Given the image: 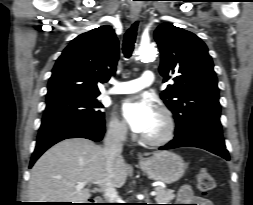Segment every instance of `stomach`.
Returning <instances> with one entry per match:
<instances>
[{
    "instance_id": "obj_1",
    "label": "stomach",
    "mask_w": 253,
    "mask_h": 205,
    "mask_svg": "<svg viewBox=\"0 0 253 205\" xmlns=\"http://www.w3.org/2000/svg\"><path fill=\"white\" fill-rule=\"evenodd\" d=\"M140 168L151 179L170 184L183 176L186 164L179 155L170 151H162L141 161Z\"/></svg>"
}]
</instances>
